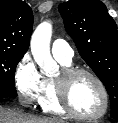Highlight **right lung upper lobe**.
Here are the masks:
<instances>
[{
	"instance_id": "cb5924a9",
	"label": "right lung upper lobe",
	"mask_w": 118,
	"mask_h": 123,
	"mask_svg": "<svg viewBox=\"0 0 118 123\" xmlns=\"http://www.w3.org/2000/svg\"><path fill=\"white\" fill-rule=\"evenodd\" d=\"M32 27L30 6L22 0H0V51L24 55Z\"/></svg>"
}]
</instances>
